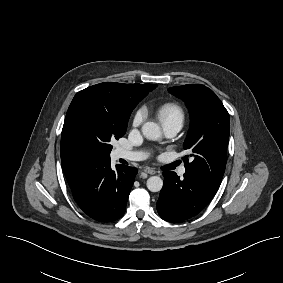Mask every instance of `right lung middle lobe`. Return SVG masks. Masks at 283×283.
Masks as SVG:
<instances>
[{"instance_id":"right-lung-middle-lobe-1","label":"right lung middle lobe","mask_w":283,"mask_h":283,"mask_svg":"<svg viewBox=\"0 0 283 283\" xmlns=\"http://www.w3.org/2000/svg\"><path fill=\"white\" fill-rule=\"evenodd\" d=\"M139 101L114 90L88 87L73 98L62 131L74 147L89 157L110 158L111 140L125 134L130 114Z\"/></svg>"}]
</instances>
